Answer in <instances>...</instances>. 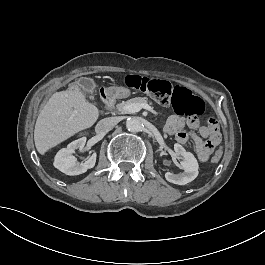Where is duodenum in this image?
Returning a JSON list of instances; mask_svg holds the SVG:
<instances>
[{"mask_svg":"<svg viewBox=\"0 0 265 265\" xmlns=\"http://www.w3.org/2000/svg\"><path fill=\"white\" fill-rule=\"evenodd\" d=\"M98 93L100 95V97L104 98V102L106 104H109L111 102L112 96L109 94L108 90H106V88L101 87L98 90Z\"/></svg>","mask_w":265,"mask_h":265,"instance_id":"obj_1","label":"duodenum"}]
</instances>
